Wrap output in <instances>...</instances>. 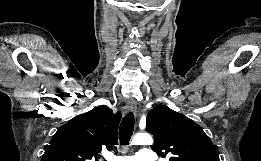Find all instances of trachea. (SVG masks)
I'll list each match as a JSON object with an SVG mask.
<instances>
[{"label": "trachea", "mask_w": 261, "mask_h": 161, "mask_svg": "<svg viewBox=\"0 0 261 161\" xmlns=\"http://www.w3.org/2000/svg\"><path fill=\"white\" fill-rule=\"evenodd\" d=\"M134 115L133 113H128L122 120L119 128V140L120 144L123 146L129 145V141L134 130Z\"/></svg>", "instance_id": "1"}]
</instances>
